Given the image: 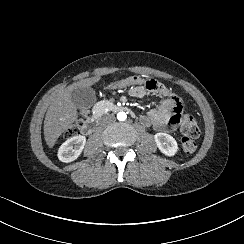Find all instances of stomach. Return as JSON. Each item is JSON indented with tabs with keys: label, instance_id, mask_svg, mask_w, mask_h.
Returning <instances> with one entry per match:
<instances>
[{
	"label": "stomach",
	"instance_id": "obj_1",
	"mask_svg": "<svg viewBox=\"0 0 244 244\" xmlns=\"http://www.w3.org/2000/svg\"><path fill=\"white\" fill-rule=\"evenodd\" d=\"M144 83V78L143 77H138V76H132L129 77L125 80H122L120 82H115L109 85L110 89H116V88H124L129 85L133 84H143Z\"/></svg>",
	"mask_w": 244,
	"mask_h": 244
}]
</instances>
